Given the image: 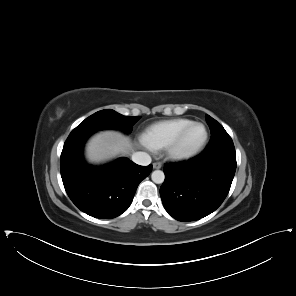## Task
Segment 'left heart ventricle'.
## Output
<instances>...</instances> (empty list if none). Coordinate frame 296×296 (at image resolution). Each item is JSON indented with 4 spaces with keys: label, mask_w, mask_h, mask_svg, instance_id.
I'll use <instances>...</instances> for the list:
<instances>
[{
    "label": "left heart ventricle",
    "mask_w": 296,
    "mask_h": 296,
    "mask_svg": "<svg viewBox=\"0 0 296 296\" xmlns=\"http://www.w3.org/2000/svg\"><path fill=\"white\" fill-rule=\"evenodd\" d=\"M203 138V128L201 126L191 127L181 139L178 150L187 152L195 149Z\"/></svg>",
    "instance_id": "1"
}]
</instances>
